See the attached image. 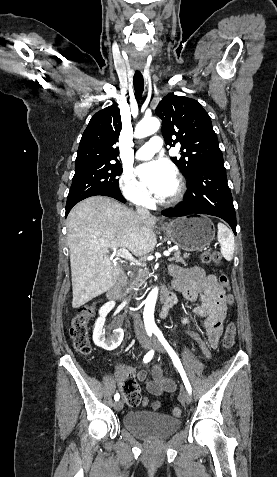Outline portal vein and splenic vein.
I'll list each match as a JSON object with an SVG mask.
<instances>
[{
    "label": "portal vein and splenic vein",
    "mask_w": 277,
    "mask_h": 477,
    "mask_svg": "<svg viewBox=\"0 0 277 477\" xmlns=\"http://www.w3.org/2000/svg\"><path fill=\"white\" fill-rule=\"evenodd\" d=\"M170 253H171V250H166L163 252L164 256H170ZM114 254L116 256H119V257H122V258H125L126 260L138 265V266H142L144 267L145 264L142 263L140 260H137L134 258V256L126 249V248H121L119 250H114Z\"/></svg>",
    "instance_id": "obj_1"
}]
</instances>
